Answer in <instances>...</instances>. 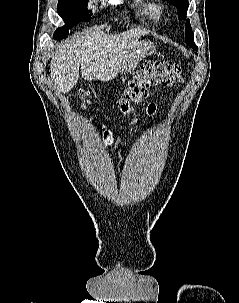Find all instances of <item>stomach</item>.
Returning <instances> with one entry per match:
<instances>
[{"instance_id": "1", "label": "stomach", "mask_w": 239, "mask_h": 303, "mask_svg": "<svg viewBox=\"0 0 239 303\" xmlns=\"http://www.w3.org/2000/svg\"><path fill=\"white\" fill-rule=\"evenodd\" d=\"M154 50V46L151 42L141 41L138 45L130 50L126 55L125 59L120 68V73H126L132 70L138 65V63L145 58L147 55H150Z\"/></svg>"}]
</instances>
